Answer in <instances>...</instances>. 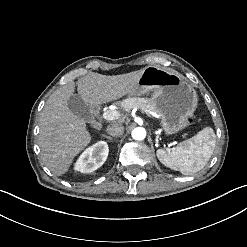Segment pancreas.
<instances>
[{
    "label": "pancreas",
    "instance_id": "1",
    "mask_svg": "<svg viewBox=\"0 0 247 247\" xmlns=\"http://www.w3.org/2000/svg\"><path fill=\"white\" fill-rule=\"evenodd\" d=\"M123 109L131 110L138 108L150 116V112L154 111V106L149 98L129 97L118 103Z\"/></svg>",
    "mask_w": 247,
    "mask_h": 247
}]
</instances>
